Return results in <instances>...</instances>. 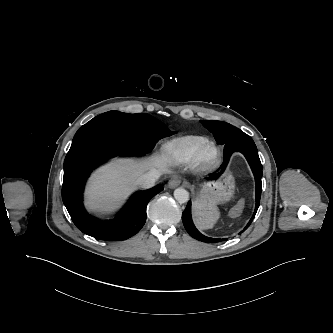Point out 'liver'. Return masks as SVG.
Segmentation results:
<instances>
[{"label": "liver", "instance_id": "6515ba94", "mask_svg": "<svg viewBox=\"0 0 333 333\" xmlns=\"http://www.w3.org/2000/svg\"><path fill=\"white\" fill-rule=\"evenodd\" d=\"M169 172L167 158L154 153L143 160L118 159L100 168L91 178L86 204L92 211L112 212L136 188V180L147 173Z\"/></svg>", "mask_w": 333, "mask_h": 333}]
</instances>
